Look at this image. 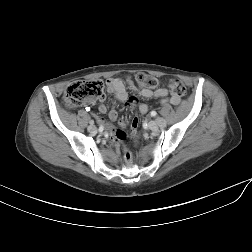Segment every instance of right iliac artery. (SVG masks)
<instances>
[{
  "instance_id": "1",
  "label": "right iliac artery",
  "mask_w": 252,
  "mask_h": 252,
  "mask_svg": "<svg viewBox=\"0 0 252 252\" xmlns=\"http://www.w3.org/2000/svg\"><path fill=\"white\" fill-rule=\"evenodd\" d=\"M103 132H104L103 126H100V128H99V130H98V133H99V134H102Z\"/></svg>"
}]
</instances>
